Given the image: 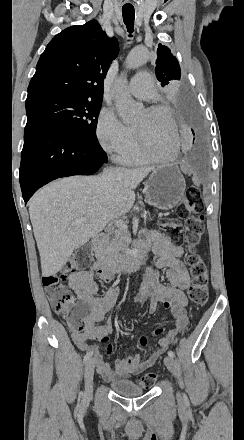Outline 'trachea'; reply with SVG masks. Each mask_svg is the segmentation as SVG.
Listing matches in <instances>:
<instances>
[{
    "label": "trachea",
    "mask_w": 244,
    "mask_h": 440,
    "mask_svg": "<svg viewBox=\"0 0 244 440\" xmlns=\"http://www.w3.org/2000/svg\"><path fill=\"white\" fill-rule=\"evenodd\" d=\"M122 15L129 36H132V32L134 31L135 10L132 8H122Z\"/></svg>",
    "instance_id": "trachea-1"
}]
</instances>
